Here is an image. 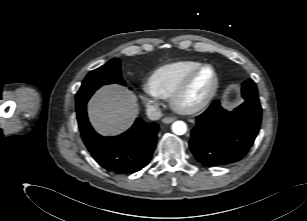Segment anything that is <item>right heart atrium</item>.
Here are the masks:
<instances>
[{"mask_svg":"<svg viewBox=\"0 0 307 221\" xmlns=\"http://www.w3.org/2000/svg\"><path fill=\"white\" fill-rule=\"evenodd\" d=\"M140 97H141L144 104H146L148 106L153 104L152 99L150 97H148L147 95H141Z\"/></svg>","mask_w":307,"mask_h":221,"instance_id":"right-heart-atrium-1","label":"right heart atrium"}]
</instances>
